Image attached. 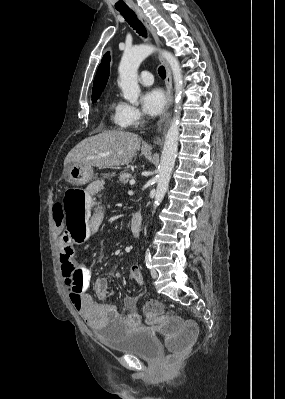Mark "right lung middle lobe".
I'll list each match as a JSON object with an SVG mask.
<instances>
[{
  "label": "right lung middle lobe",
  "instance_id": "1",
  "mask_svg": "<svg viewBox=\"0 0 285 399\" xmlns=\"http://www.w3.org/2000/svg\"><path fill=\"white\" fill-rule=\"evenodd\" d=\"M100 95H101V94L93 95V96H92V101H93V102H96L97 99L100 97Z\"/></svg>",
  "mask_w": 285,
  "mask_h": 399
}]
</instances>
